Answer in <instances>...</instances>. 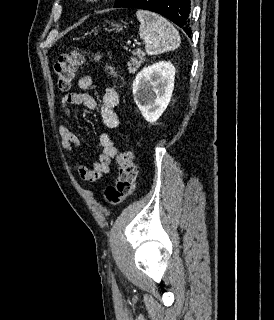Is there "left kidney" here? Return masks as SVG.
Instances as JSON below:
<instances>
[{
  "label": "left kidney",
  "mask_w": 274,
  "mask_h": 320,
  "mask_svg": "<svg viewBox=\"0 0 274 320\" xmlns=\"http://www.w3.org/2000/svg\"><path fill=\"white\" fill-rule=\"evenodd\" d=\"M175 68L170 62H158L143 68L133 82V96L143 118L154 124L165 112L173 94Z\"/></svg>",
  "instance_id": "left-kidney-1"
}]
</instances>
